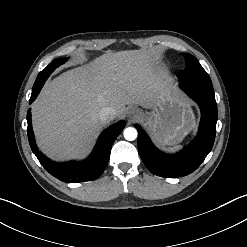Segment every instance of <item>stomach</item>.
I'll return each mask as SVG.
<instances>
[{
	"mask_svg": "<svg viewBox=\"0 0 247 247\" xmlns=\"http://www.w3.org/2000/svg\"><path fill=\"white\" fill-rule=\"evenodd\" d=\"M153 111L142 114L154 139L161 145H175L195 127L191 104L179 93L168 88L155 99Z\"/></svg>",
	"mask_w": 247,
	"mask_h": 247,
	"instance_id": "stomach-1",
	"label": "stomach"
}]
</instances>
